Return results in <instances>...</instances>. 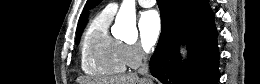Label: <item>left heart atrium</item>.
<instances>
[{
    "instance_id": "39dd6f15",
    "label": "left heart atrium",
    "mask_w": 260,
    "mask_h": 84,
    "mask_svg": "<svg viewBox=\"0 0 260 84\" xmlns=\"http://www.w3.org/2000/svg\"><path fill=\"white\" fill-rule=\"evenodd\" d=\"M139 34L142 45L149 49L157 41L161 30V20L157 11H145L139 20Z\"/></svg>"
}]
</instances>
